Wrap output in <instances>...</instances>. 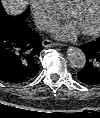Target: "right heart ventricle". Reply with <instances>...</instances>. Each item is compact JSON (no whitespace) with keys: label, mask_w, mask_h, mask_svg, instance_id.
<instances>
[{"label":"right heart ventricle","mask_w":100,"mask_h":118,"mask_svg":"<svg viewBox=\"0 0 100 118\" xmlns=\"http://www.w3.org/2000/svg\"><path fill=\"white\" fill-rule=\"evenodd\" d=\"M55 4L61 9L65 11L67 7L74 1V0H53Z\"/></svg>","instance_id":"e07e8e85"}]
</instances>
